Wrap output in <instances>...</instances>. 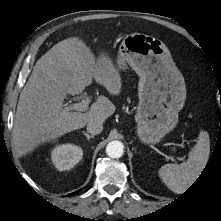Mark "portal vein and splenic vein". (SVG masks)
<instances>
[{
    "label": "portal vein and splenic vein",
    "instance_id": "portal-vein-and-splenic-vein-1",
    "mask_svg": "<svg viewBox=\"0 0 221 221\" xmlns=\"http://www.w3.org/2000/svg\"><path fill=\"white\" fill-rule=\"evenodd\" d=\"M89 103H90V97H86V98L82 99V101L80 103H75V104L69 106V108L84 112V111L88 110ZM165 157L167 159H170L171 161L175 160L174 157L171 155H165Z\"/></svg>",
    "mask_w": 221,
    "mask_h": 221
}]
</instances>
